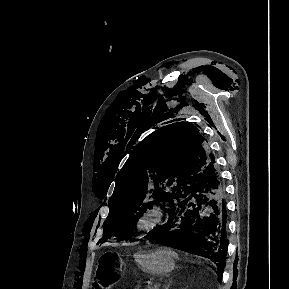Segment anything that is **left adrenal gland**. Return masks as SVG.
<instances>
[{
	"instance_id": "a2214340",
	"label": "left adrenal gland",
	"mask_w": 289,
	"mask_h": 289,
	"mask_svg": "<svg viewBox=\"0 0 289 289\" xmlns=\"http://www.w3.org/2000/svg\"><path fill=\"white\" fill-rule=\"evenodd\" d=\"M172 281H169L165 289H168Z\"/></svg>"
}]
</instances>
